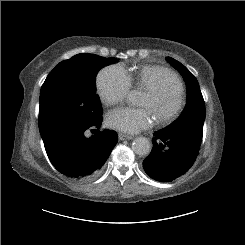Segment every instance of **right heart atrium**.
Returning <instances> with one entry per match:
<instances>
[{"mask_svg": "<svg viewBox=\"0 0 245 245\" xmlns=\"http://www.w3.org/2000/svg\"><path fill=\"white\" fill-rule=\"evenodd\" d=\"M96 86L103 103L109 105L125 98L131 88V81L122 66L109 65L98 72Z\"/></svg>", "mask_w": 245, "mask_h": 245, "instance_id": "right-heart-atrium-1", "label": "right heart atrium"}]
</instances>
